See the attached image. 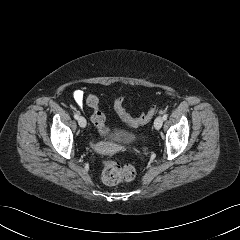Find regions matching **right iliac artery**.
I'll return each mask as SVG.
<instances>
[{"label":"right iliac artery","mask_w":240,"mask_h":240,"mask_svg":"<svg viewBox=\"0 0 240 240\" xmlns=\"http://www.w3.org/2000/svg\"><path fill=\"white\" fill-rule=\"evenodd\" d=\"M74 118H75L76 120H78L79 115H78L77 113H74Z\"/></svg>","instance_id":"82829eb1"}]
</instances>
